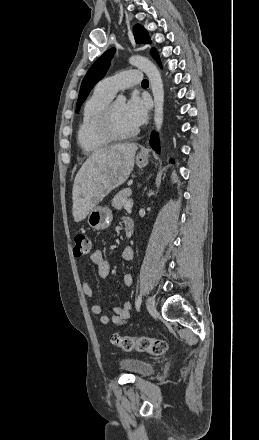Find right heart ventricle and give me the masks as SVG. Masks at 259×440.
Here are the masks:
<instances>
[{"label": "right heart ventricle", "mask_w": 259, "mask_h": 440, "mask_svg": "<svg viewBox=\"0 0 259 440\" xmlns=\"http://www.w3.org/2000/svg\"><path fill=\"white\" fill-rule=\"evenodd\" d=\"M112 98L96 88L83 105L77 128V142L85 154L100 151L111 143L100 133L99 125L103 112Z\"/></svg>", "instance_id": "right-heart-ventricle-1"}]
</instances>
